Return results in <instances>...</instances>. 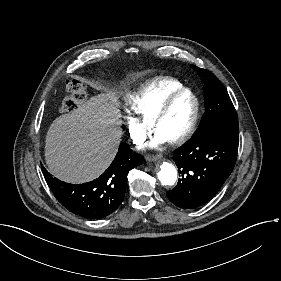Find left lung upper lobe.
Listing matches in <instances>:
<instances>
[{"mask_svg":"<svg viewBox=\"0 0 281 281\" xmlns=\"http://www.w3.org/2000/svg\"><path fill=\"white\" fill-rule=\"evenodd\" d=\"M193 68L202 77L205 92V113L197 130L212 127L237 131V113L225 87L207 70L197 66Z\"/></svg>","mask_w":281,"mask_h":281,"instance_id":"obj_1","label":"left lung upper lobe"}]
</instances>
